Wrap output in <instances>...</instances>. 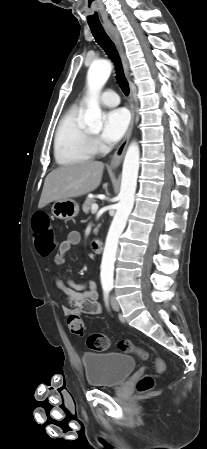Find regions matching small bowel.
<instances>
[{"label": "small bowel", "mask_w": 207, "mask_h": 449, "mask_svg": "<svg viewBox=\"0 0 207 449\" xmlns=\"http://www.w3.org/2000/svg\"><path fill=\"white\" fill-rule=\"evenodd\" d=\"M80 239L78 232H70L67 235L66 239L60 243L54 257L56 265L60 266L65 263L67 253L72 247L80 243ZM55 286L64 293L68 301V305L62 308L64 315L71 316L82 313L97 315L101 312L96 283L93 280L77 283L70 278L66 282L62 279H56Z\"/></svg>", "instance_id": "obj_1"}]
</instances>
